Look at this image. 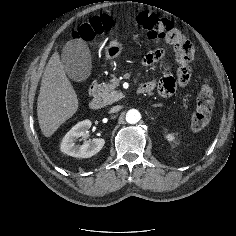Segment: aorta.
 Returning a JSON list of instances; mask_svg holds the SVG:
<instances>
[{
    "label": "aorta",
    "mask_w": 236,
    "mask_h": 236,
    "mask_svg": "<svg viewBox=\"0 0 236 236\" xmlns=\"http://www.w3.org/2000/svg\"><path fill=\"white\" fill-rule=\"evenodd\" d=\"M140 112L136 109H130L127 113H126V121L129 124H135L140 120Z\"/></svg>",
    "instance_id": "762f6f07"
}]
</instances>
